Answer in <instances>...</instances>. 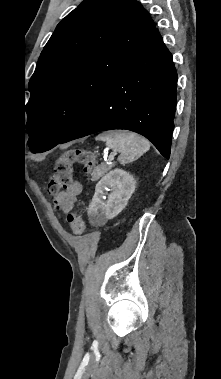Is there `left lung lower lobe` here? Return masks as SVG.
<instances>
[{"instance_id":"obj_1","label":"left lung lower lobe","mask_w":221,"mask_h":379,"mask_svg":"<svg viewBox=\"0 0 221 379\" xmlns=\"http://www.w3.org/2000/svg\"><path fill=\"white\" fill-rule=\"evenodd\" d=\"M176 87L172 55L155 29L58 144L100 131L127 129L145 136L168 159Z\"/></svg>"}]
</instances>
